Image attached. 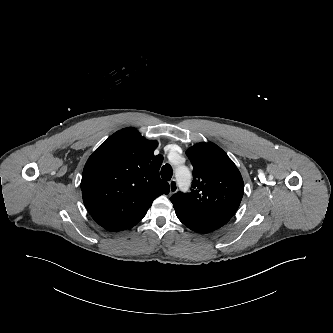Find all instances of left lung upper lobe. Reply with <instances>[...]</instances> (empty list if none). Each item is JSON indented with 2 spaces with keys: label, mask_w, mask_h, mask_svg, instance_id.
I'll return each instance as SVG.
<instances>
[{
  "label": "left lung upper lobe",
  "mask_w": 333,
  "mask_h": 333,
  "mask_svg": "<svg viewBox=\"0 0 333 333\" xmlns=\"http://www.w3.org/2000/svg\"><path fill=\"white\" fill-rule=\"evenodd\" d=\"M186 153L194 167V181L189 193L178 192L170 198L173 205L177 201L190 205L234 201L240 205L244 193L243 179L220 147L202 142Z\"/></svg>",
  "instance_id": "obj_1"
}]
</instances>
